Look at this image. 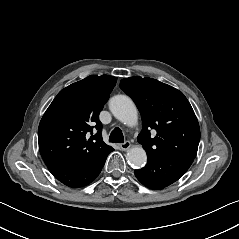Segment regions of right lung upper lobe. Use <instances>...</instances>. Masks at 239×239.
Instances as JSON below:
<instances>
[{
    "instance_id": "right-lung-upper-lobe-1",
    "label": "right lung upper lobe",
    "mask_w": 239,
    "mask_h": 239,
    "mask_svg": "<svg viewBox=\"0 0 239 239\" xmlns=\"http://www.w3.org/2000/svg\"><path fill=\"white\" fill-rule=\"evenodd\" d=\"M116 81L113 76L91 75L58 93L38 128L39 150L47 166L88 163L111 148L103 142L99 113ZM90 132L92 136H86Z\"/></svg>"
}]
</instances>
